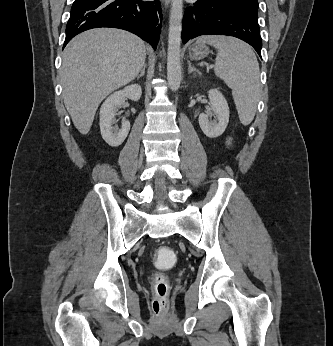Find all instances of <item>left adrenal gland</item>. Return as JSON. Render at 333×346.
Masks as SVG:
<instances>
[{"label":"left adrenal gland","mask_w":333,"mask_h":346,"mask_svg":"<svg viewBox=\"0 0 333 346\" xmlns=\"http://www.w3.org/2000/svg\"><path fill=\"white\" fill-rule=\"evenodd\" d=\"M192 72H196L198 73L199 75H201V73L199 72L198 69H196L195 67H193L191 65V62L188 60V73H192Z\"/></svg>","instance_id":"left-adrenal-gland-1"}]
</instances>
